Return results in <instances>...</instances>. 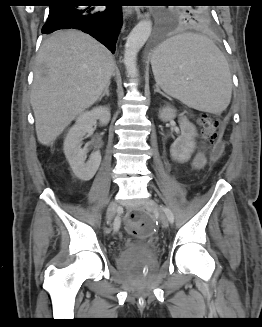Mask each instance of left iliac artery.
<instances>
[{"instance_id": "44dca946", "label": "left iliac artery", "mask_w": 262, "mask_h": 327, "mask_svg": "<svg viewBox=\"0 0 262 327\" xmlns=\"http://www.w3.org/2000/svg\"><path fill=\"white\" fill-rule=\"evenodd\" d=\"M161 208L164 211V213L166 214L169 222L174 223V215H173L172 211L168 207H165L163 205H161Z\"/></svg>"}]
</instances>
